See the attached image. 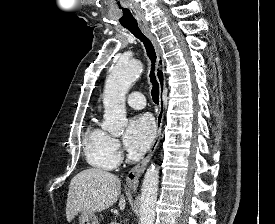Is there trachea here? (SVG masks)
I'll return each instance as SVG.
<instances>
[{
    "label": "trachea",
    "instance_id": "trachea-1",
    "mask_svg": "<svg viewBox=\"0 0 275 224\" xmlns=\"http://www.w3.org/2000/svg\"><path fill=\"white\" fill-rule=\"evenodd\" d=\"M136 38H138L141 42H143L147 56L151 60V71H150V82L152 83V90H151V95L154 103L158 104L159 103V84L156 80V76L154 73L155 70V62H156V52L154 49V46L152 42L150 41L149 38H147L138 25H132V26H127L126 27Z\"/></svg>",
    "mask_w": 275,
    "mask_h": 224
}]
</instances>
